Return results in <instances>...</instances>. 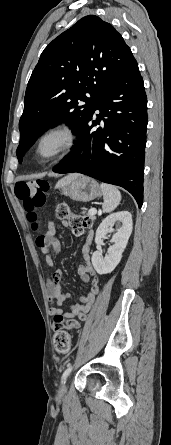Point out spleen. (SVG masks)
Masks as SVG:
<instances>
[{
    "instance_id": "spleen-1",
    "label": "spleen",
    "mask_w": 171,
    "mask_h": 445,
    "mask_svg": "<svg viewBox=\"0 0 171 445\" xmlns=\"http://www.w3.org/2000/svg\"><path fill=\"white\" fill-rule=\"evenodd\" d=\"M100 188L103 194V205L102 209L106 213H110L117 208L121 201V193L119 190L109 184H100Z\"/></svg>"
}]
</instances>
